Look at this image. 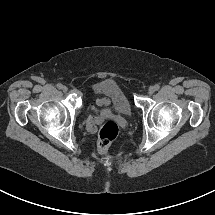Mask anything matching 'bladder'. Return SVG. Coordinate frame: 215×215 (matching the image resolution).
<instances>
[{
  "mask_svg": "<svg viewBox=\"0 0 215 215\" xmlns=\"http://www.w3.org/2000/svg\"><path fill=\"white\" fill-rule=\"evenodd\" d=\"M93 96L108 98L114 108L125 116H130L133 111L132 104L121 86L112 79H105L93 87Z\"/></svg>",
  "mask_w": 215,
  "mask_h": 215,
  "instance_id": "bladder-1",
  "label": "bladder"
}]
</instances>
